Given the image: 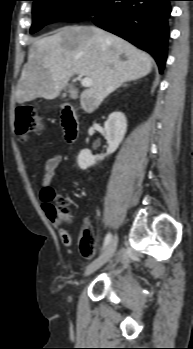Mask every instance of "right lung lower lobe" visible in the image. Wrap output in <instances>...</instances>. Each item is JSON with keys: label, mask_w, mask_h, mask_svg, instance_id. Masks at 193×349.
Masks as SVG:
<instances>
[{"label": "right lung lower lobe", "mask_w": 193, "mask_h": 349, "mask_svg": "<svg viewBox=\"0 0 193 349\" xmlns=\"http://www.w3.org/2000/svg\"><path fill=\"white\" fill-rule=\"evenodd\" d=\"M170 1L101 0L89 16L95 25L150 53L162 72L167 56Z\"/></svg>", "instance_id": "1"}]
</instances>
